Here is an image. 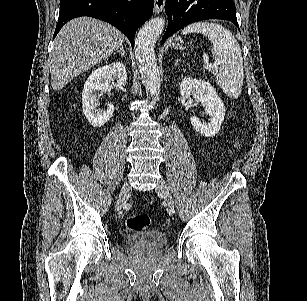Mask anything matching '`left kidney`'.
<instances>
[{
	"label": "left kidney",
	"instance_id": "left-kidney-1",
	"mask_svg": "<svg viewBox=\"0 0 307 301\" xmlns=\"http://www.w3.org/2000/svg\"><path fill=\"white\" fill-rule=\"evenodd\" d=\"M180 94L181 96H193L197 102H202L210 116L209 122H201L197 116H191V124L199 134L215 136L221 128L226 108L214 86L207 80H197L192 76H186L180 82Z\"/></svg>",
	"mask_w": 307,
	"mask_h": 301
}]
</instances>
